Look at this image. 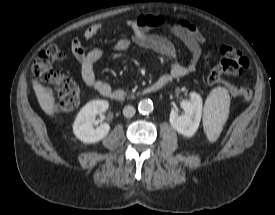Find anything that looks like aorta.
I'll list each match as a JSON object with an SVG mask.
<instances>
[{
  "label": "aorta",
  "instance_id": "aorta-1",
  "mask_svg": "<svg viewBox=\"0 0 275 215\" xmlns=\"http://www.w3.org/2000/svg\"><path fill=\"white\" fill-rule=\"evenodd\" d=\"M153 103L150 100H141L138 104V111L141 114H150L153 111Z\"/></svg>",
  "mask_w": 275,
  "mask_h": 215
}]
</instances>
